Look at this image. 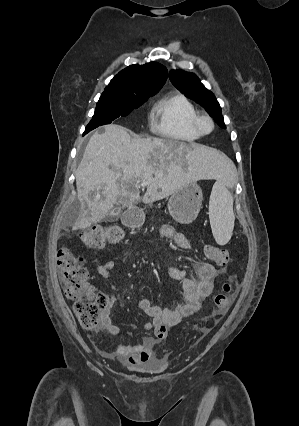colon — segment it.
I'll return each mask as SVG.
<instances>
[{
	"instance_id": "colon-1",
	"label": "colon",
	"mask_w": 299,
	"mask_h": 426,
	"mask_svg": "<svg viewBox=\"0 0 299 426\" xmlns=\"http://www.w3.org/2000/svg\"><path fill=\"white\" fill-rule=\"evenodd\" d=\"M123 230L116 225L97 226L80 233L83 244L89 248H102L117 244L123 238ZM206 257L220 266L230 260L229 252L215 245L205 247ZM58 267L61 282L67 298L75 302L74 309L84 328H93L98 322L99 312L107 305V297L89 284L88 272L81 257L63 248L58 252ZM233 298V286L224 283L221 291L214 297L212 316H222L229 309ZM211 326H204L203 332Z\"/></svg>"
}]
</instances>
